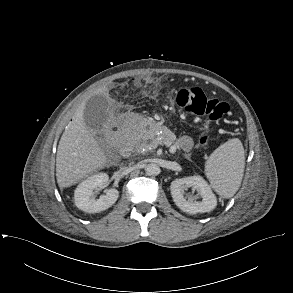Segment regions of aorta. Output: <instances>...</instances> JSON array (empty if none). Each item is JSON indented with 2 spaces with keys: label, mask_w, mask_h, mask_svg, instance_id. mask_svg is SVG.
I'll list each match as a JSON object with an SVG mask.
<instances>
[{
  "label": "aorta",
  "mask_w": 293,
  "mask_h": 293,
  "mask_svg": "<svg viewBox=\"0 0 293 293\" xmlns=\"http://www.w3.org/2000/svg\"><path fill=\"white\" fill-rule=\"evenodd\" d=\"M145 172L148 176H156L160 173V167L156 163L146 165Z\"/></svg>",
  "instance_id": "762f6f07"
}]
</instances>
